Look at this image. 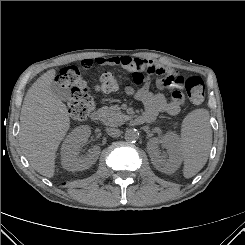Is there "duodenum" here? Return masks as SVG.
Instances as JSON below:
<instances>
[{"label": "duodenum", "instance_id": "410a0bca", "mask_svg": "<svg viewBox=\"0 0 245 245\" xmlns=\"http://www.w3.org/2000/svg\"><path fill=\"white\" fill-rule=\"evenodd\" d=\"M102 118V115L99 111H94L92 114H91V119L94 121V122H99ZM133 123L135 125H141V124H144L146 122H150L151 121V118L145 116V115H139V116H136L133 118Z\"/></svg>", "mask_w": 245, "mask_h": 245}]
</instances>
